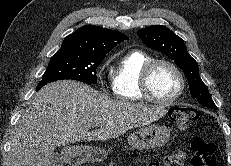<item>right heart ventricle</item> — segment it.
<instances>
[{
  "instance_id": "1",
  "label": "right heart ventricle",
  "mask_w": 231,
  "mask_h": 166,
  "mask_svg": "<svg viewBox=\"0 0 231 166\" xmlns=\"http://www.w3.org/2000/svg\"><path fill=\"white\" fill-rule=\"evenodd\" d=\"M152 59L144 51L130 50L118 60L112 76V89L115 98L123 101L144 99L139 87L140 74L145 64Z\"/></svg>"
}]
</instances>
